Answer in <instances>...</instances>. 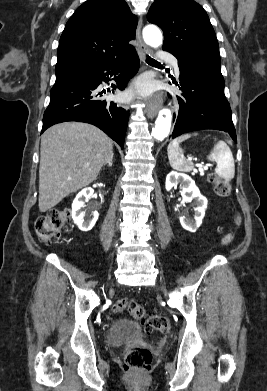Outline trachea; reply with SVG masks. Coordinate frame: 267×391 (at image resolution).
<instances>
[{"label": "trachea", "instance_id": "trachea-1", "mask_svg": "<svg viewBox=\"0 0 267 391\" xmlns=\"http://www.w3.org/2000/svg\"><path fill=\"white\" fill-rule=\"evenodd\" d=\"M146 62H147L148 64H150V65H153V66H158V65H160L159 62H157L156 60H154V59H152V58H150V57H147V58H146Z\"/></svg>", "mask_w": 267, "mask_h": 391}]
</instances>
